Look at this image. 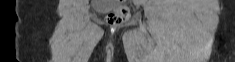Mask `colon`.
<instances>
[{
    "label": "colon",
    "instance_id": "5ec220e1",
    "mask_svg": "<svg viewBox=\"0 0 235 62\" xmlns=\"http://www.w3.org/2000/svg\"><path fill=\"white\" fill-rule=\"evenodd\" d=\"M116 6L107 16V21L110 25H120L126 22L129 18V9L124 5V0H117Z\"/></svg>",
    "mask_w": 235,
    "mask_h": 62
}]
</instances>
